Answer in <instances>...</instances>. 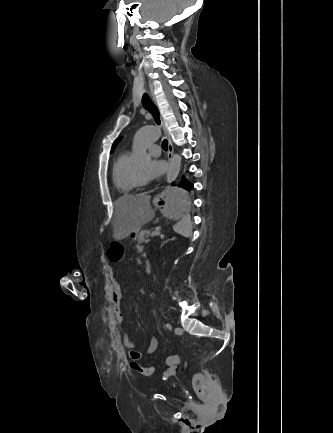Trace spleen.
I'll list each match as a JSON object with an SVG mask.
<instances>
[{"label": "spleen", "instance_id": "3e777b00", "mask_svg": "<svg viewBox=\"0 0 333 433\" xmlns=\"http://www.w3.org/2000/svg\"><path fill=\"white\" fill-rule=\"evenodd\" d=\"M176 223L173 225V230L182 235L183 237H190L192 233V222L189 215V210L187 215H185L184 220H175Z\"/></svg>", "mask_w": 333, "mask_h": 433}]
</instances>
